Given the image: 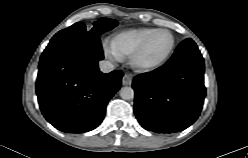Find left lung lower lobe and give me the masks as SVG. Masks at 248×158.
Returning <instances> with one entry per match:
<instances>
[{
  "label": "left lung lower lobe",
  "mask_w": 248,
  "mask_h": 158,
  "mask_svg": "<svg viewBox=\"0 0 248 158\" xmlns=\"http://www.w3.org/2000/svg\"><path fill=\"white\" fill-rule=\"evenodd\" d=\"M134 112L143 128L179 132L200 115L206 89L204 60L192 39L177 47L163 66L134 78Z\"/></svg>",
  "instance_id": "1"
}]
</instances>
